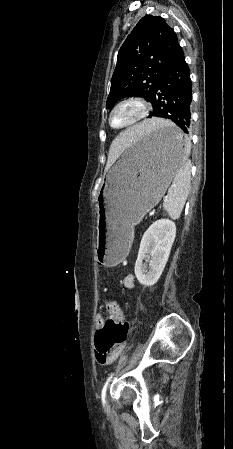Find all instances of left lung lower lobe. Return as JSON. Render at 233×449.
Here are the masks:
<instances>
[{
	"instance_id": "0a47b994",
	"label": "left lung lower lobe",
	"mask_w": 233,
	"mask_h": 449,
	"mask_svg": "<svg viewBox=\"0 0 233 449\" xmlns=\"http://www.w3.org/2000/svg\"><path fill=\"white\" fill-rule=\"evenodd\" d=\"M191 102L190 70L182 51L157 83L151 102L153 111L148 116L170 119L182 130L181 134H160L159 139L166 146L180 149L189 143L186 134L191 127Z\"/></svg>"
}]
</instances>
